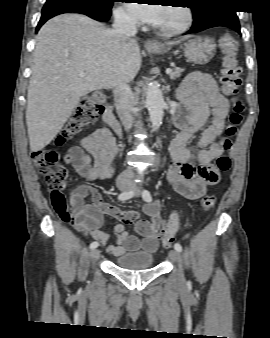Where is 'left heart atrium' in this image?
<instances>
[{
  "label": "left heart atrium",
  "mask_w": 270,
  "mask_h": 338,
  "mask_svg": "<svg viewBox=\"0 0 270 338\" xmlns=\"http://www.w3.org/2000/svg\"><path fill=\"white\" fill-rule=\"evenodd\" d=\"M129 7L139 19L150 24H156L162 14L161 5L129 3Z\"/></svg>",
  "instance_id": "39dd6f15"
}]
</instances>
